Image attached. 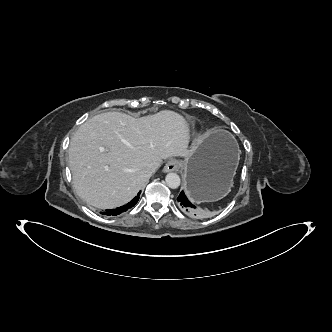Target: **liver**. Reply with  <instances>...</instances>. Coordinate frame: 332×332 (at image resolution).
Instances as JSON below:
<instances>
[{
	"label": "liver",
	"mask_w": 332,
	"mask_h": 332,
	"mask_svg": "<svg viewBox=\"0 0 332 332\" xmlns=\"http://www.w3.org/2000/svg\"><path fill=\"white\" fill-rule=\"evenodd\" d=\"M189 142L188 123L174 111L139 119L120 112L96 115L70 141L73 187L94 207L122 206L148 181L150 165L157 170L163 159L191 156L201 138Z\"/></svg>",
	"instance_id": "liver-1"
}]
</instances>
